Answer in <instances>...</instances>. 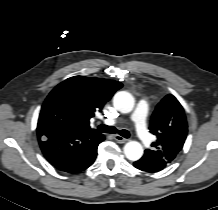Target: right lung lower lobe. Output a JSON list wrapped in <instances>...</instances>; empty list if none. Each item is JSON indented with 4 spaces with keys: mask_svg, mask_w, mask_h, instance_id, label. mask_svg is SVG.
I'll list each match as a JSON object with an SVG mask.
<instances>
[{
    "mask_svg": "<svg viewBox=\"0 0 218 210\" xmlns=\"http://www.w3.org/2000/svg\"><path fill=\"white\" fill-rule=\"evenodd\" d=\"M40 148L46 159L58 170L77 173L93 164L98 145L104 136L57 127H37Z\"/></svg>",
    "mask_w": 218,
    "mask_h": 210,
    "instance_id": "1",
    "label": "right lung lower lobe"
}]
</instances>
